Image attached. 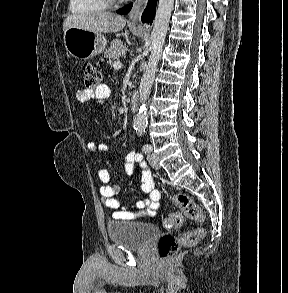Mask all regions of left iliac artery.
Instances as JSON below:
<instances>
[{"instance_id": "obj_1", "label": "left iliac artery", "mask_w": 288, "mask_h": 293, "mask_svg": "<svg viewBox=\"0 0 288 293\" xmlns=\"http://www.w3.org/2000/svg\"><path fill=\"white\" fill-rule=\"evenodd\" d=\"M137 133H138L139 136H141L143 134V131L142 130H137ZM142 150L145 153H149V152L152 151V147L149 144H145V145H143Z\"/></svg>"}]
</instances>
